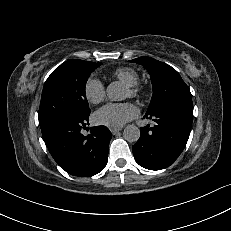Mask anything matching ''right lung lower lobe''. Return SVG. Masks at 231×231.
Segmentation results:
<instances>
[{
  "instance_id": "1",
  "label": "right lung lower lobe",
  "mask_w": 231,
  "mask_h": 231,
  "mask_svg": "<svg viewBox=\"0 0 231 231\" xmlns=\"http://www.w3.org/2000/svg\"><path fill=\"white\" fill-rule=\"evenodd\" d=\"M88 121L89 115L63 117L41 130L54 160L73 176L96 175L107 163L112 135L105 126H96L84 136L81 130Z\"/></svg>"
}]
</instances>
